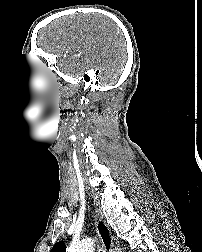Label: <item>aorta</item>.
<instances>
[{"instance_id": "obj_1", "label": "aorta", "mask_w": 202, "mask_h": 252, "mask_svg": "<svg viewBox=\"0 0 202 252\" xmlns=\"http://www.w3.org/2000/svg\"><path fill=\"white\" fill-rule=\"evenodd\" d=\"M68 252H94V243L91 239L75 243L70 246Z\"/></svg>"}]
</instances>
